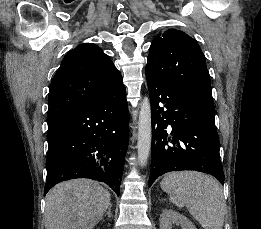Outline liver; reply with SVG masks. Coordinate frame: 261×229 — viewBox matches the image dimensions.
I'll return each instance as SVG.
<instances>
[{"label":"liver","mask_w":261,"mask_h":229,"mask_svg":"<svg viewBox=\"0 0 261 229\" xmlns=\"http://www.w3.org/2000/svg\"><path fill=\"white\" fill-rule=\"evenodd\" d=\"M111 195L91 179H72L46 195L45 229H93L110 205Z\"/></svg>","instance_id":"1"}]
</instances>
